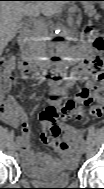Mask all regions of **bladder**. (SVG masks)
<instances>
[{
	"mask_svg": "<svg viewBox=\"0 0 104 189\" xmlns=\"http://www.w3.org/2000/svg\"><path fill=\"white\" fill-rule=\"evenodd\" d=\"M21 171L29 180L38 185L63 186L71 182L72 168L69 165L52 163Z\"/></svg>",
	"mask_w": 104,
	"mask_h": 189,
	"instance_id": "obj_1",
	"label": "bladder"
}]
</instances>
